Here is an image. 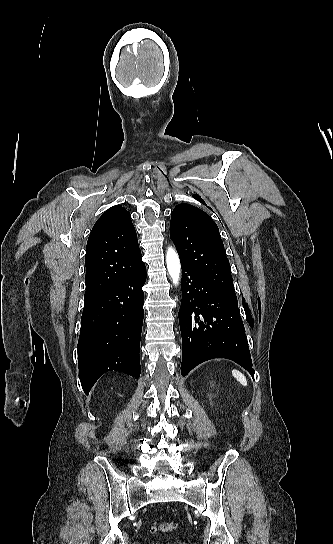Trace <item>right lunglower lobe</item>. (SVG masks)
Instances as JSON below:
<instances>
[{
  "label": "right lung lower lobe",
  "mask_w": 333,
  "mask_h": 544,
  "mask_svg": "<svg viewBox=\"0 0 333 544\" xmlns=\"http://www.w3.org/2000/svg\"><path fill=\"white\" fill-rule=\"evenodd\" d=\"M144 263L106 292L84 300L78 341L79 378L88 394L107 371L140 377Z\"/></svg>",
  "instance_id": "98d812e1"
}]
</instances>
